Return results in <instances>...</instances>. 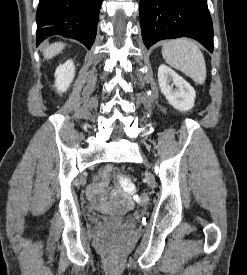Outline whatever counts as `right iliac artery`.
I'll use <instances>...</instances> for the list:
<instances>
[{"label": "right iliac artery", "instance_id": "1", "mask_svg": "<svg viewBox=\"0 0 247 275\" xmlns=\"http://www.w3.org/2000/svg\"><path fill=\"white\" fill-rule=\"evenodd\" d=\"M99 173H100V174H103V173H104V170H103V169H100V170H99Z\"/></svg>", "mask_w": 247, "mask_h": 275}]
</instances>
